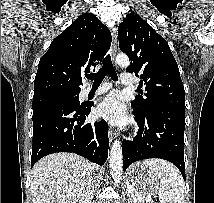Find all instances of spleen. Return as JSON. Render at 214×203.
<instances>
[{"instance_id":"spleen-1","label":"spleen","mask_w":214,"mask_h":203,"mask_svg":"<svg viewBox=\"0 0 214 203\" xmlns=\"http://www.w3.org/2000/svg\"><path fill=\"white\" fill-rule=\"evenodd\" d=\"M144 165L160 177V203H184V182L175 166L160 159L145 160Z\"/></svg>"}]
</instances>
